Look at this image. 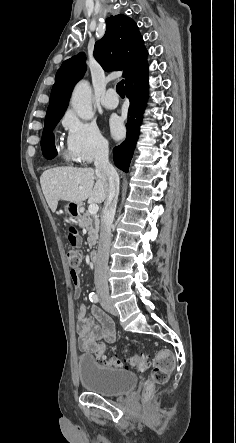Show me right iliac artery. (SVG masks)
I'll list each match as a JSON object with an SVG mask.
<instances>
[{
    "mask_svg": "<svg viewBox=\"0 0 236 443\" xmlns=\"http://www.w3.org/2000/svg\"><path fill=\"white\" fill-rule=\"evenodd\" d=\"M89 299L91 302L97 303L99 301V296L96 293L91 292L89 294Z\"/></svg>",
    "mask_w": 236,
    "mask_h": 443,
    "instance_id": "1",
    "label": "right iliac artery"
}]
</instances>
